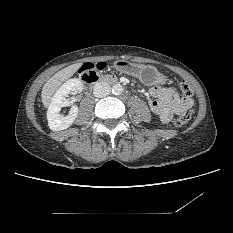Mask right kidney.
I'll return each mask as SVG.
<instances>
[{"mask_svg": "<svg viewBox=\"0 0 233 233\" xmlns=\"http://www.w3.org/2000/svg\"><path fill=\"white\" fill-rule=\"evenodd\" d=\"M83 90V84L79 79H69L54 94L47 111L48 126L53 131L69 128L78 115V107L72 106L68 115L60 113L61 108L70 104L66 98L68 94L78 93Z\"/></svg>", "mask_w": 233, "mask_h": 233, "instance_id": "right-kidney-1", "label": "right kidney"}]
</instances>
